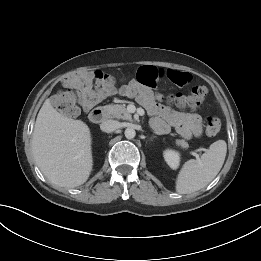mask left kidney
I'll use <instances>...</instances> for the list:
<instances>
[{
    "label": "left kidney",
    "instance_id": "obj_1",
    "mask_svg": "<svg viewBox=\"0 0 261 261\" xmlns=\"http://www.w3.org/2000/svg\"><path fill=\"white\" fill-rule=\"evenodd\" d=\"M164 159L170 168L176 170L180 164V154L171 149H167L163 153Z\"/></svg>",
    "mask_w": 261,
    "mask_h": 261
}]
</instances>
